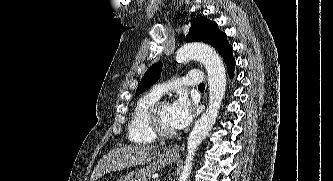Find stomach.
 <instances>
[{
  "mask_svg": "<svg viewBox=\"0 0 333 181\" xmlns=\"http://www.w3.org/2000/svg\"><path fill=\"white\" fill-rule=\"evenodd\" d=\"M176 157V155L161 153L160 151L155 152L153 155L154 161L152 164L140 169L133 170L117 179V181H149L151 175L155 171L170 165L176 159Z\"/></svg>",
  "mask_w": 333,
  "mask_h": 181,
  "instance_id": "1",
  "label": "stomach"
}]
</instances>
